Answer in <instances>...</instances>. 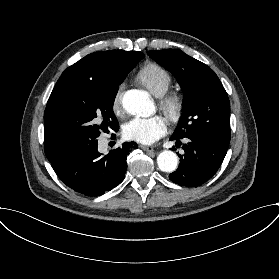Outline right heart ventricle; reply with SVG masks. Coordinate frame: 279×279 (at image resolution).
I'll list each match as a JSON object with an SVG mask.
<instances>
[{
  "mask_svg": "<svg viewBox=\"0 0 279 279\" xmlns=\"http://www.w3.org/2000/svg\"><path fill=\"white\" fill-rule=\"evenodd\" d=\"M138 80L154 95H164L172 84L170 72L156 62H147L137 73Z\"/></svg>",
  "mask_w": 279,
  "mask_h": 279,
  "instance_id": "e07e8e85",
  "label": "right heart ventricle"
}]
</instances>
